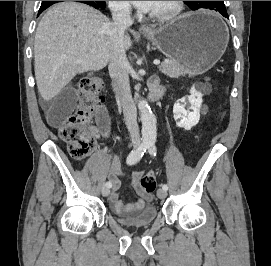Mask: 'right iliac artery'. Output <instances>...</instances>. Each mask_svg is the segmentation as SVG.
<instances>
[{
  "label": "right iliac artery",
  "mask_w": 271,
  "mask_h": 266,
  "mask_svg": "<svg viewBox=\"0 0 271 266\" xmlns=\"http://www.w3.org/2000/svg\"><path fill=\"white\" fill-rule=\"evenodd\" d=\"M148 149V142L143 141L136 149L132 150L127 157V164L133 165L137 163ZM107 187H111L110 181L106 182Z\"/></svg>",
  "instance_id": "1"
}]
</instances>
